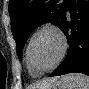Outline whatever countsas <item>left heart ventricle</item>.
Listing matches in <instances>:
<instances>
[{
    "instance_id": "1",
    "label": "left heart ventricle",
    "mask_w": 89,
    "mask_h": 89,
    "mask_svg": "<svg viewBox=\"0 0 89 89\" xmlns=\"http://www.w3.org/2000/svg\"><path fill=\"white\" fill-rule=\"evenodd\" d=\"M61 43L58 36L50 30H45L34 39L30 49V61L34 70L50 67L58 58Z\"/></svg>"
}]
</instances>
